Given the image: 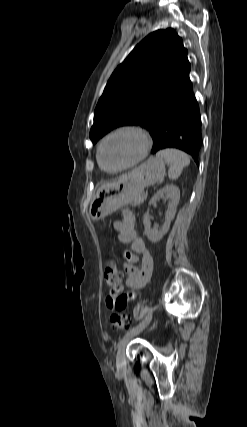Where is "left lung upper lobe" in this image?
Segmentation results:
<instances>
[{
	"mask_svg": "<svg viewBox=\"0 0 247 427\" xmlns=\"http://www.w3.org/2000/svg\"><path fill=\"white\" fill-rule=\"evenodd\" d=\"M189 72L187 49L173 29L149 34L108 80L95 108L92 142L123 125L149 129L163 105L191 84Z\"/></svg>",
	"mask_w": 247,
	"mask_h": 427,
	"instance_id": "1",
	"label": "left lung upper lobe"
}]
</instances>
